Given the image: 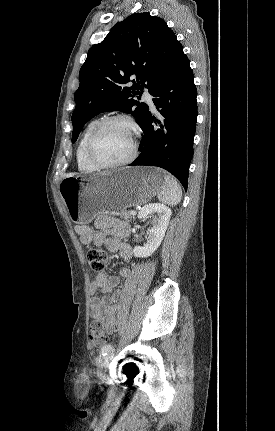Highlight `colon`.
Returning <instances> with one entry per match:
<instances>
[{"mask_svg": "<svg viewBox=\"0 0 275 431\" xmlns=\"http://www.w3.org/2000/svg\"><path fill=\"white\" fill-rule=\"evenodd\" d=\"M87 259L91 269L101 273L109 262V254L104 249L91 248L87 252ZM89 336L91 342L97 347L104 345L108 340L104 326L95 320L90 324Z\"/></svg>", "mask_w": 275, "mask_h": 431, "instance_id": "5ec220e1", "label": "colon"}]
</instances>
